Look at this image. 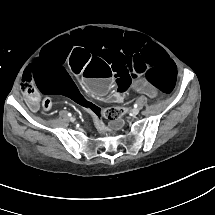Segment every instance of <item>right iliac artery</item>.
Segmentation results:
<instances>
[{"mask_svg":"<svg viewBox=\"0 0 215 215\" xmlns=\"http://www.w3.org/2000/svg\"><path fill=\"white\" fill-rule=\"evenodd\" d=\"M67 115H68V116H71V113H68Z\"/></svg>","mask_w":215,"mask_h":215,"instance_id":"1","label":"right iliac artery"}]
</instances>
